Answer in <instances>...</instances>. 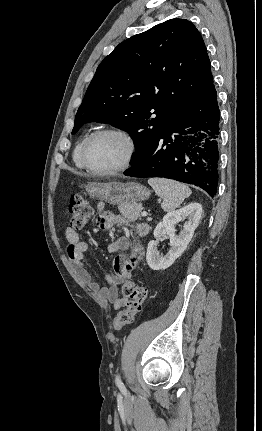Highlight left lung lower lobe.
Returning <instances> with one entry per match:
<instances>
[{"label":"left lung lower lobe","instance_id":"1","mask_svg":"<svg viewBox=\"0 0 262 431\" xmlns=\"http://www.w3.org/2000/svg\"><path fill=\"white\" fill-rule=\"evenodd\" d=\"M219 121L217 92L212 84L176 116L124 175L174 179L214 196L218 184Z\"/></svg>","mask_w":262,"mask_h":431}]
</instances>
